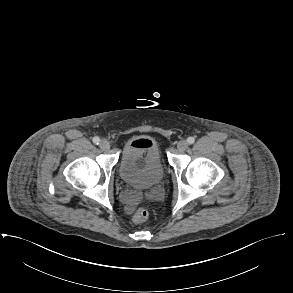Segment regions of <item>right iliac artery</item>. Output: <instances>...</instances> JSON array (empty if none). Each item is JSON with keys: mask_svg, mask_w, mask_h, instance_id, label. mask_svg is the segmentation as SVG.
<instances>
[{"mask_svg": "<svg viewBox=\"0 0 293 293\" xmlns=\"http://www.w3.org/2000/svg\"><path fill=\"white\" fill-rule=\"evenodd\" d=\"M93 142H94L95 144H99V142H100L99 137H94V138H93Z\"/></svg>", "mask_w": 293, "mask_h": 293, "instance_id": "1", "label": "right iliac artery"}]
</instances>
